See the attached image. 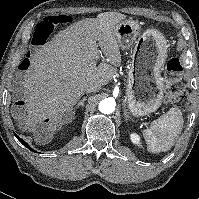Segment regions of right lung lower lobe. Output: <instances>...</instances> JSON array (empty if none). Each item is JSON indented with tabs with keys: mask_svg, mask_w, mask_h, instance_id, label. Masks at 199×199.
I'll list each match as a JSON object with an SVG mask.
<instances>
[{
	"mask_svg": "<svg viewBox=\"0 0 199 199\" xmlns=\"http://www.w3.org/2000/svg\"><path fill=\"white\" fill-rule=\"evenodd\" d=\"M16 138L25 146L27 147L29 150L33 151V152H36L35 150H33L23 139H21L20 137H18L16 134H15Z\"/></svg>",
	"mask_w": 199,
	"mask_h": 199,
	"instance_id": "1",
	"label": "right lung lower lobe"
}]
</instances>
